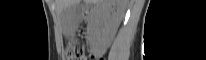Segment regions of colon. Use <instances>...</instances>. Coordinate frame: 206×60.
Returning <instances> with one entry per match:
<instances>
[{"instance_id":"colon-1","label":"colon","mask_w":206,"mask_h":60,"mask_svg":"<svg viewBox=\"0 0 206 60\" xmlns=\"http://www.w3.org/2000/svg\"><path fill=\"white\" fill-rule=\"evenodd\" d=\"M65 55L68 60H90L91 58L86 55L80 40L77 38L69 40Z\"/></svg>"}]
</instances>
